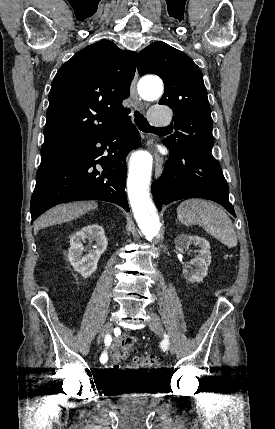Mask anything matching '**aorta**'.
<instances>
[{
    "instance_id": "1",
    "label": "aorta",
    "mask_w": 275,
    "mask_h": 429,
    "mask_svg": "<svg viewBox=\"0 0 275 429\" xmlns=\"http://www.w3.org/2000/svg\"><path fill=\"white\" fill-rule=\"evenodd\" d=\"M163 93L162 82L157 78H146L140 84V94L145 100H156ZM152 157L146 152H137L130 160L127 191L132 211L139 229L147 240L159 236L160 220L157 209L150 198Z\"/></svg>"
}]
</instances>
